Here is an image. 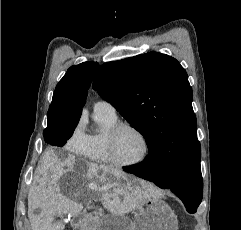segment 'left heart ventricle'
<instances>
[{
  "mask_svg": "<svg viewBox=\"0 0 241 230\" xmlns=\"http://www.w3.org/2000/svg\"><path fill=\"white\" fill-rule=\"evenodd\" d=\"M143 151V141L134 131L123 129L119 132L115 142V153L119 160L125 162L137 160Z\"/></svg>",
  "mask_w": 241,
  "mask_h": 230,
  "instance_id": "b2bd125f",
  "label": "left heart ventricle"
}]
</instances>
